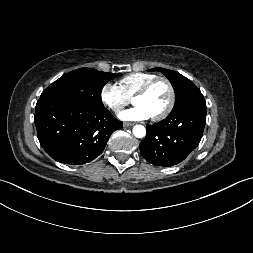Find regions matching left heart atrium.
I'll return each mask as SVG.
<instances>
[{
    "instance_id": "left-heart-atrium-1",
    "label": "left heart atrium",
    "mask_w": 253,
    "mask_h": 253,
    "mask_svg": "<svg viewBox=\"0 0 253 253\" xmlns=\"http://www.w3.org/2000/svg\"><path fill=\"white\" fill-rule=\"evenodd\" d=\"M119 118L125 121H139L147 120L151 116L143 106L135 104L133 107L120 112Z\"/></svg>"
}]
</instances>
